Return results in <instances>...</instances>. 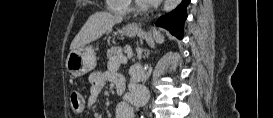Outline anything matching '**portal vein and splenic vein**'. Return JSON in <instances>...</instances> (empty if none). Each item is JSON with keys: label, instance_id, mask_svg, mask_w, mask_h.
I'll list each match as a JSON object with an SVG mask.
<instances>
[{"label": "portal vein and splenic vein", "instance_id": "portal-vein-and-splenic-vein-1", "mask_svg": "<svg viewBox=\"0 0 273 118\" xmlns=\"http://www.w3.org/2000/svg\"><path fill=\"white\" fill-rule=\"evenodd\" d=\"M114 59H116V58H114ZM119 60H120V62H122V63H127V58L124 57V56H120Z\"/></svg>", "mask_w": 273, "mask_h": 118}]
</instances>
